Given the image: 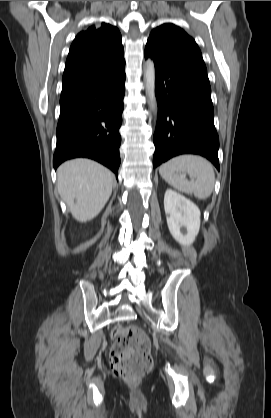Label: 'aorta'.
<instances>
[{"label":"aorta","instance_id":"762f6f07","mask_svg":"<svg viewBox=\"0 0 271 418\" xmlns=\"http://www.w3.org/2000/svg\"><path fill=\"white\" fill-rule=\"evenodd\" d=\"M144 81L150 107L157 112V102L155 96V66L153 60L151 59H148L145 64Z\"/></svg>","mask_w":271,"mask_h":418}]
</instances>
